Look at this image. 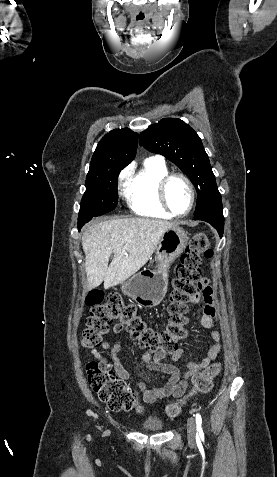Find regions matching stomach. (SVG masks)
I'll use <instances>...</instances> for the list:
<instances>
[{"instance_id": "1", "label": "stomach", "mask_w": 277, "mask_h": 477, "mask_svg": "<svg viewBox=\"0 0 277 477\" xmlns=\"http://www.w3.org/2000/svg\"><path fill=\"white\" fill-rule=\"evenodd\" d=\"M188 235L178 225L169 228L161 237L156 248V270H144L121 283L122 292L141 307H155L167 292L170 264L186 248Z\"/></svg>"}]
</instances>
